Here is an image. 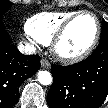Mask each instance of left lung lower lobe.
Returning a JSON list of instances; mask_svg holds the SVG:
<instances>
[{"instance_id":"1","label":"left lung lower lobe","mask_w":108,"mask_h":108,"mask_svg":"<svg viewBox=\"0 0 108 108\" xmlns=\"http://www.w3.org/2000/svg\"><path fill=\"white\" fill-rule=\"evenodd\" d=\"M50 108H99L108 96V47L98 46L85 60L51 65Z\"/></svg>"}]
</instances>
